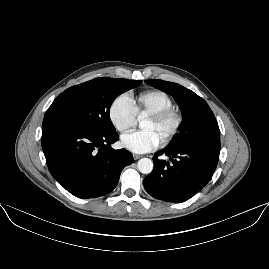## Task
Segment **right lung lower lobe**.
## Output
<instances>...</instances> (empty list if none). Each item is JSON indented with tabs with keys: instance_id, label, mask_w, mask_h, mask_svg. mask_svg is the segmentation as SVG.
<instances>
[{
	"instance_id": "obj_1",
	"label": "right lung lower lobe",
	"mask_w": 269,
	"mask_h": 269,
	"mask_svg": "<svg viewBox=\"0 0 269 269\" xmlns=\"http://www.w3.org/2000/svg\"><path fill=\"white\" fill-rule=\"evenodd\" d=\"M115 133L104 134L54 112H46L42 148L52 176L71 194L95 198L110 193L122 169L133 162L126 149L110 147Z\"/></svg>"
}]
</instances>
